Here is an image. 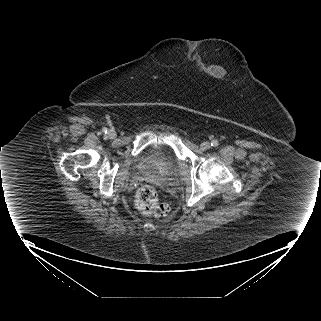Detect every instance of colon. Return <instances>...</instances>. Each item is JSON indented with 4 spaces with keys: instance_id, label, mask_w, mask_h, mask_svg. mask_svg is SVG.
<instances>
[{
    "instance_id": "colon-1",
    "label": "colon",
    "mask_w": 321,
    "mask_h": 321,
    "mask_svg": "<svg viewBox=\"0 0 321 321\" xmlns=\"http://www.w3.org/2000/svg\"><path fill=\"white\" fill-rule=\"evenodd\" d=\"M135 205L142 214L147 216L163 217L170 211L168 204L160 200L157 190L150 185H143L138 189Z\"/></svg>"
}]
</instances>
